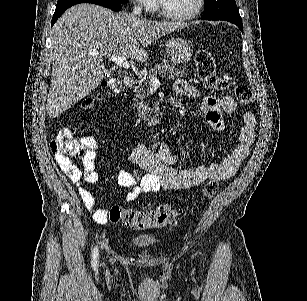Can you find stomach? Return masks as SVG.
<instances>
[{
    "label": "stomach",
    "instance_id": "obj_1",
    "mask_svg": "<svg viewBox=\"0 0 307 301\" xmlns=\"http://www.w3.org/2000/svg\"><path fill=\"white\" fill-rule=\"evenodd\" d=\"M165 50L173 64L188 62L192 56V48L186 38H169Z\"/></svg>",
    "mask_w": 307,
    "mask_h": 301
}]
</instances>
